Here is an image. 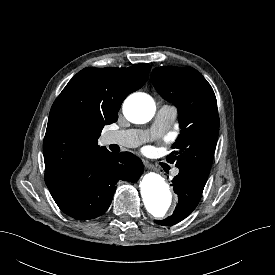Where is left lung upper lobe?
Listing matches in <instances>:
<instances>
[{
	"instance_id": "5c2ea615",
	"label": "left lung upper lobe",
	"mask_w": 275,
	"mask_h": 275,
	"mask_svg": "<svg viewBox=\"0 0 275 275\" xmlns=\"http://www.w3.org/2000/svg\"><path fill=\"white\" fill-rule=\"evenodd\" d=\"M151 81L158 93L178 108L180 135L167 161L176 167H194L209 174L219 133L214 91L192 67H158Z\"/></svg>"
}]
</instances>
